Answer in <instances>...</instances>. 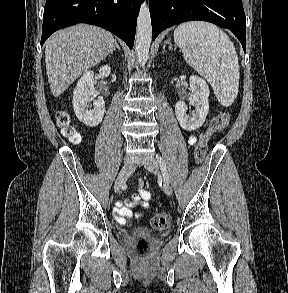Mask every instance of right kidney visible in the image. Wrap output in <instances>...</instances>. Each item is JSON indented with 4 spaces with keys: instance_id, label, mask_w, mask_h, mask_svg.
<instances>
[{
    "instance_id": "right-kidney-1",
    "label": "right kidney",
    "mask_w": 288,
    "mask_h": 293,
    "mask_svg": "<svg viewBox=\"0 0 288 293\" xmlns=\"http://www.w3.org/2000/svg\"><path fill=\"white\" fill-rule=\"evenodd\" d=\"M99 73L103 77H108L111 73L110 66L100 67ZM93 77V71H86L82 75L74 89L72 101L76 117L89 127L97 126L105 112V102L102 97L96 98L93 108L89 105V102L96 97Z\"/></svg>"
}]
</instances>
